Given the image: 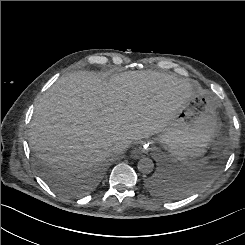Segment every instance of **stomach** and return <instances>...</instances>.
<instances>
[{
  "instance_id": "obj_1",
  "label": "stomach",
  "mask_w": 245,
  "mask_h": 245,
  "mask_svg": "<svg viewBox=\"0 0 245 245\" xmlns=\"http://www.w3.org/2000/svg\"><path fill=\"white\" fill-rule=\"evenodd\" d=\"M219 129L215 99L195 90L155 140L173 159L191 162L215 143Z\"/></svg>"
}]
</instances>
